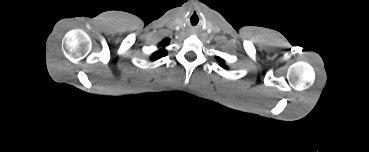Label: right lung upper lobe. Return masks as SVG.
<instances>
[{
	"label": "right lung upper lobe",
	"mask_w": 369,
	"mask_h": 152,
	"mask_svg": "<svg viewBox=\"0 0 369 152\" xmlns=\"http://www.w3.org/2000/svg\"><path fill=\"white\" fill-rule=\"evenodd\" d=\"M169 44V41L166 39V40H164L162 43H161V45L162 46H166V45H168ZM165 55H167V51L165 50V49H160L159 51H157V52H155L154 54H153V56H152V58H151V60H156V59H159V58H161V57H163V56H165Z\"/></svg>",
	"instance_id": "1"
}]
</instances>
